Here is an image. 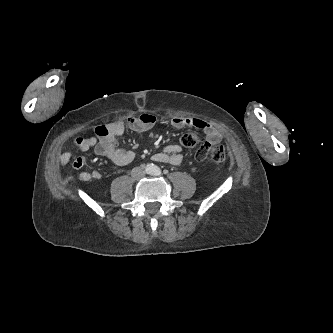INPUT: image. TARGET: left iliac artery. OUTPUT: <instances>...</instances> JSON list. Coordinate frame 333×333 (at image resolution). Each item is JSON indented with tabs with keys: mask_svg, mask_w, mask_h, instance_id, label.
<instances>
[{
	"mask_svg": "<svg viewBox=\"0 0 333 333\" xmlns=\"http://www.w3.org/2000/svg\"><path fill=\"white\" fill-rule=\"evenodd\" d=\"M153 174L154 175H160L161 174V170L158 167H154Z\"/></svg>",
	"mask_w": 333,
	"mask_h": 333,
	"instance_id": "left-iliac-artery-1",
	"label": "left iliac artery"
}]
</instances>
